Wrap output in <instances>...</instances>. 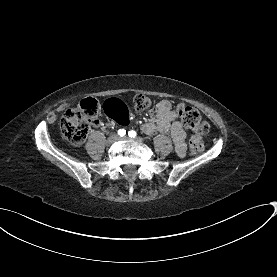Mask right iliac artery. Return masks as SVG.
<instances>
[{"label":"right iliac artery","instance_id":"right-iliac-artery-1","mask_svg":"<svg viewBox=\"0 0 277 277\" xmlns=\"http://www.w3.org/2000/svg\"><path fill=\"white\" fill-rule=\"evenodd\" d=\"M126 134V131L124 129H119L118 130V135L123 137Z\"/></svg>","mask_w":277,"mask_h":277}]
</instances>
